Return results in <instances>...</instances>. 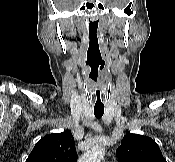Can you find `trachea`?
Returning <instances> with one entry per match:
<instances>
[{"label":"trachea","mask_w":175,"mask_h":162,"mask_svg":"<svg viewBox=\"0 0 175 162\" xmlns=\"http://www.w3.org/2000/svg\"><path fill=\"white\" fill-rule=\"evenodd\" d=\"M104 114V107H94V115L97 119H100Z\"/></svg>","instance_id":"1"}]
</instances>
